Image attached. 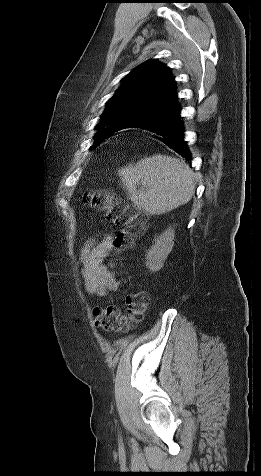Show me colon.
<instances>
[{
	"label": "colon",
	"instance_id": "colon-1",
	"mask_svg": "<svg viewBox=\"0 0 261 476\" xmlns=\"http://www.w3.org/2000/svg\"><path fill=\"white\" fill-rule=\"evenodd\" d=\"M83 201L103 213L108 220L120 228L113 241L117 252L130 249L136 237L145 230L146 219L108 190L87 193ZM148 303L147 293L143 291L130 293L125 298V314L112 305L96 307L93 310L94 324L105 332L127 331L133 324L143 319Z\"/></svg>",
	"mask_w": 261,
	"mask_h": 476
}]
</instances>
